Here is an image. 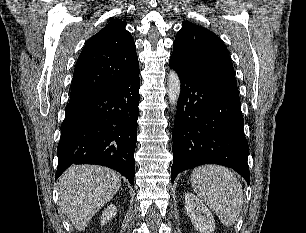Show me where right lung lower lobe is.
<instances>
[{"mask_svg":"<svg viewBox=\"0 0 306 233\" xmlns=\"http://www.w3.org/2000/svg\"><path fill=\"white\" fill-rule=\"evenodd\" d=\"M139 88L137 69L119 86L66 106L56 180L72 164H97L120 172L134 185Z\"/></svg>","mask_w":306,"mask_h":233,"instance_id":"right-lung-lower-lobe-1","label":"right lung lower lobe"}]
</instances>
